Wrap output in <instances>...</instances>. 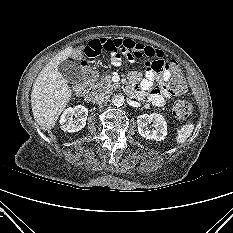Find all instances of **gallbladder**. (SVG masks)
<instances>
[{
    "instance_id": "obj_1",
    "label": "gallbladder",
    "mask_w": 233,
    "mask_h": 233,
    "mask_svg": "<svg viewBox=\"0 0 233 233\" xmlns=\"http://www.w3.org/2000/svg\"><path fill=\"white\" fill-rule=\"evenodd\" d=\"M58 71L69 82H79L82 79V68L72 60H63L58 65Z\"/></svg>"
}]
</instances>
